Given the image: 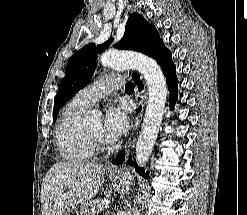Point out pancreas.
Listing matches in <instances>:
<instances>
[{"instance_id": "obj_1", "label": "pancreas", "mask_w": 247, "mask_h": 215, "mask_svg": "<svg viewBox=\"0 0 247 215\" xmlns=\"http://www.w3.org/2000/svg\"><path fill=\"white\" fill-rule=\"evenodd\" d=\"M102 203V200H92L86 204H84L80 208V214L81 215H95L96 213L102 211V208L100 209L99 206Z\"/></svg>"}]
</instances>
